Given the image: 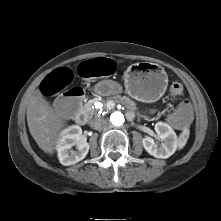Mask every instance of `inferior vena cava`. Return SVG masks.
<instances>
[{"instance_id":"inferior-vena-cava-1","label":"inferior vena cava","mask_w":221,"mask_h":221,"mask_svg":"<svg viewBox=\"0 0 221 221\" xmlns=\"http://www.w3.org/2000/svg\"><path fill=\"white\" fill-rule=\"evenodd\" d=\"M90 125L95 130H101L107 125V121L103 118H94L90 121Z\"/></svg>"}]
</instances>
